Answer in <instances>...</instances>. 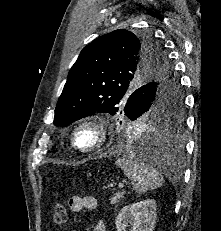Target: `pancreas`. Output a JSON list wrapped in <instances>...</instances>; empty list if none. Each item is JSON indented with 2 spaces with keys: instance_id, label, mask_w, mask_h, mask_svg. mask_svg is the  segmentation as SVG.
Instances as JSON below:
<instances>
[{
  "instance_id": "cf45deb5",
  "label": "pancreas",
  "mask_w": 221,
  "mask_h": 231,
  "mask_svg": "<svg viewBox=\"0 0 221 231\" xmlns=\"http://www.w3.org/2000/svg\"><path fill=\"white\" fill-rule=\"evenodd\" d=\"M121 198H123V193H116L113 197L110 198V202L111 204H117Z\"/></svg>"
}]
</instances>
